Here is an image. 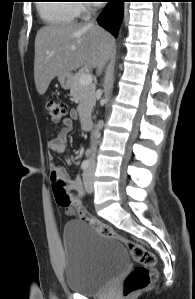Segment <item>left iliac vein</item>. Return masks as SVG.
I'll return each instance as SVG.
<instances>
[{"label": "left iliac vein", "mask_w": 195, "mask_h": 299, "mask_svg": "<svg viewBox=\"0 0 195 299\" xmlns=\"http://www.w3.org/2000/svg\"><path fill=\"white\" fill-rule=\"evenodd\" d=\"M95 165H91L85 172H84V186L87 193L91 194L94 190L93 187V171Z\"/></svg>", "instance_id": "left-iliac-vein-1"}]
</instances>
